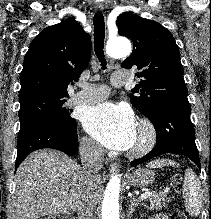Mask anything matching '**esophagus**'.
Segmentation results:
<instances>
[{"mask_svg":"<svg viewBox=\"0 0 211 219\" xmlns=\"http://www.w3.org/2000/svg\"><path fill=\"white\" fill-rule=\"evenodd\" d=\"M103 9H104L103 4L95 5V10L101 11ZM109 169H110L111 172H115V171L119 170V164L116 163V162H113V163L110 164Z\"/></svg>","mask_w":211,"mask_h":219,"instance_id":"34e87169","label":"esophagus"}]
</instances>
